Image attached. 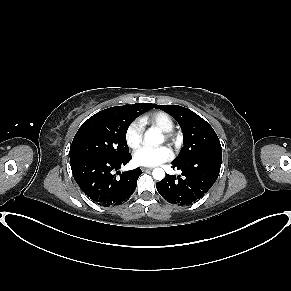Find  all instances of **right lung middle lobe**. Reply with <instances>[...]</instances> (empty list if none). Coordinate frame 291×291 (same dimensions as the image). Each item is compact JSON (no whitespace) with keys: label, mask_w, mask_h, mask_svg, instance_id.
<instances>
[{"label":"right lung middle lobe","mask_w":291,"mask_h":291,"mask_svg":"<svg viewBox=\"0 0 291 291\" xmlns=\"http://www.w3.org/2000/svg\"><path fill=\"white\" fill-rule=\"evenodd\" d=\"M149 103L115 106L86 120L77 131L69 151L70 161L83 158H119L129 154L126 132L132 121L154 108Z\"/></svg>","instance_id":"right-lung-middle-lobe-1"}]
</instances>
